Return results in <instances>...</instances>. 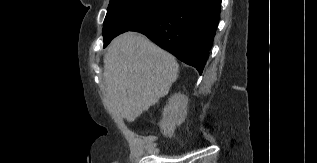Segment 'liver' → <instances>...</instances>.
<instances>
[{
  "label": "liver",
  "instance_id": "liver-1",
  "mask_svg": "<svg viewBox=\"0 0 317 163\" xmlns=\"http://www.w3.org/2000/svg\"><path fill=\"white\" fill-rule=\"evenodd\" d=\"M103 61L107 108L115 120L133 122L167 95L178 77L175 58L135 32L113 39Z\"/></svg>",
  "mask_w": 317,
  "mask_h": 163
}]
</instances>
